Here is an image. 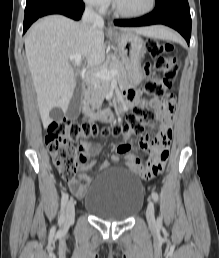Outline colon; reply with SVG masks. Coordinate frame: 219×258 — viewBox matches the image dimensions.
I'll use <instances>...</instances> for the list:
<instances>
[{
  "mask_svg": "<svg viewBox=\"0 0 219 258\" xmlns=\"http://www.w3.org/2000/svg\"><path fill=\"white\" fill-rule=\"evenodd\" d=\"M146 50L155 59L156 69L160 76L148 79L144 85V93L161 98L173 86L179 70L178 58L172 55L171 44L155 40L146 41ZM155 118L154 111L146 101L133 107L121 122L108 127H99L92 122H75L66 118L53 121L47 128L46 146L52 161L62 178L71 180L77 171V162L82 155L81 147L76 145L90 138L112 135L126 139L133 135L145 137V126Z\"/></svg>",
  "mask_w": 219,
  "mask_h": 258,
  "instance_id": "colon-1",
  "label": "colon"
}]
</instances>
